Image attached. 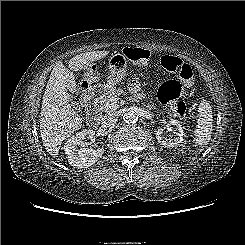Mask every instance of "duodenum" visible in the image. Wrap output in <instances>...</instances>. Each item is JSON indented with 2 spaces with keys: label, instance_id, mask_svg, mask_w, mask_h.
I'll use <instances>...</instances> for the list:
<instances>
[{
  "label": "duodenum",
  "instance_id": "410a0bca",
  "mask_svg": "<svg viewBox=\"0 0 245 245\" xmlns=\"http://www.w3.org/2000/svg\"><path fill=\"white\" fill-rule=\"evenodd\" d=\"M105 87L96 86L92 90H83L81 94V101L88 110V120L91 126L98 125L100 121V114L96 107V102L104 94Z\"/></svg>",
  "mask_w": 245,
  "mask_h": 245
}]
</instances>
